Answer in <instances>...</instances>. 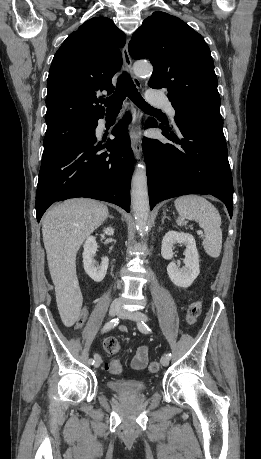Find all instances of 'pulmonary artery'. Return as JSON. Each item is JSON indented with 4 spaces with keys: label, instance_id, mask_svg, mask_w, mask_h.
<instances>
[{
    "label": "pulmonary artery",
    "instance_id": "e3ab8cb5",
    "mask_svg": "<svg viewBox=\"0 0 261 459\" xmlns=\"http://www.w3.org/2000/svg\"><path fill=\"white\" fill-rule=\"evenodd\" d=\"M148 100L155 106L163 107L167 111L168 115L172 119L174 118L175 110L165 97L159 96L153 92H149Z\"/></svg>",
    "mask_w": 261,
    "mask_h": 459
}]
</instances>
